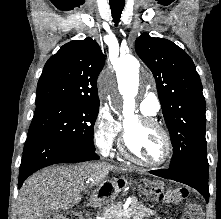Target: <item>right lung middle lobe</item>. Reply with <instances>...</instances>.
Segmentation results:
<instances>
[{
    "mask_svg": "<svg viewBox=\"0 0 221 219\" xmlns=\"http://www.w3.org/2000/svg\"><path fill=\"white\" fill-rule=\"evenodd\" d=\"M36 106L28 135L44 134L95 151L93 127L99 103L45 101L36 103Z\"/></svg>",
    "mask_w": 221,
    "mask_h": 219,
    "instance_id": "dd1d6c3e",
    "label": "right lung middle lobe"
}]
</instances>
